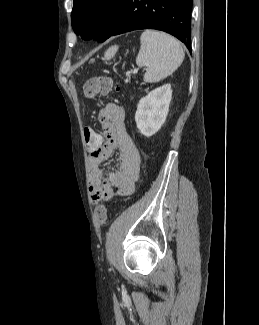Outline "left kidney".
<instances>
[{"label": "left kidney", "mask_w": 259, "mask_h": 325, "mask_svg": "<svg viewBox=\"0 0 259 325\" xmlns=\"http://www.w3.org/2000/svg\"><path fill=\"white\" fill-rule=\"evenodd\" d=\"M172 98L171 85L156 88L143 97L137 106L135 121L140 133L154 135L164 124Z\"/></svg>", "instance_id": "1"}]
</instances>
